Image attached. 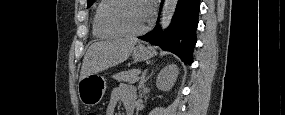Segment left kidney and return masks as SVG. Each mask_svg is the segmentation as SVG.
<instances>
[{
	"label": "left kidney",
	"mask_w": 285,
	"mask_h": 115,
	"mask_svg": "<svg viewBox=\"0 0 285 115\" xmlns=\"http://www.w3.org/2000/svg\"><path fill=\"white\" fill-rule=\"evenodd\" d=\"M179 74V68L176 64H170L163 68L157 78V87L160 90L168 91L170 90Z\"/></svg>",
	"instance_id": "obj_1"
}]
</instances>
